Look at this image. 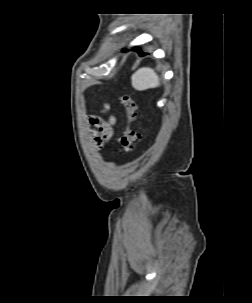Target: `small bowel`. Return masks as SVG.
I'll list each match as a JSON object with an SVG mask.
<instances>
[{"label": "small bowel", "instance_id": "small-bowel-1", "mask_svg": "<svg viewBox=\"0 0 252 303\" xmlns=\"http://www.w3.org/2000/svg\"><path fill=\"white\" fill-rule=\"evenodd\" d=\"M89 122L94 132V139L99 146H102L105 142L109 141L113 135L114 119L104 121L97 116H91Z\"/></svg>", "mask_w": 252, "mask_h": 303}]
</instances>
